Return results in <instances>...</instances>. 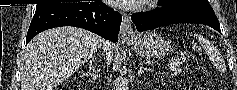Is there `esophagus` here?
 <instances>
[{
	"instance_id": "obj_1",
	"label": "esophagus",
	"mask_w": 237,
	"mask_h": 90,
	"mask_svg": "<svg viewBox=\"0 0 237 90\" xmlns=\"http://www.w3.org/2000/svg\"><path fill=\"white\" fill-rule=\"evenodd\" d=\"M120 36L123 42H131L135 38V33L131 25V20L129 15L127 14H124L122 17Z\"/></svg>"
}]
</instances>
